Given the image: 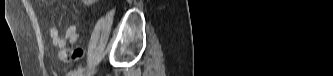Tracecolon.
<instances>
[{
	"mask_svg": "<svg viewBox=\"0 0 333 76\" xmlns=\"http://www.w3.org/2000/svg\"><path fill=\"white\" fill-rule=\"evenodd\" d=\"M83 55V49L77 48L74 50L63 49L59 53V57L63 62L76 61Z\"/></svg>",
	"mask_w": 333,
	"mask_h": 76,
	"instance_id": "5ec220e1",
	"label": "colon"
}]
</instances>
